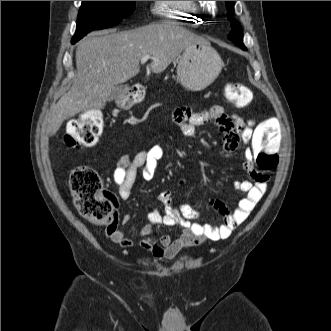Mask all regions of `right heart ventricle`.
<instances>
[{
  "mask_svg": "<svg viewBox=\"0 0 331 331\" xmlns=\"http://www.w3.org/2000/svg\"><path fill=\"white\" fill-rule=\"evenodd\" d=\"M205 1H154L153 11L163 20L192 26L203 17Z\"/></svg>",
  "mask_w": 331,
  "mask_h": 331,
  "instance_id": "obj_1",
  "label": "right heart ventricle"
}]
</instances>
